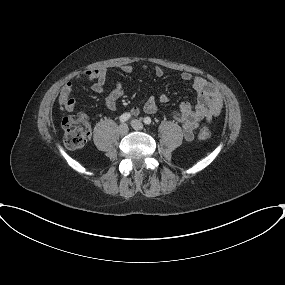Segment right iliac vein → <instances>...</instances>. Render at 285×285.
I'll return each mask as SVG.
<instances>
[{
  "label": "right iliac vein",
  "mask_w": 285,
  "mask_h": 285,
  "mask_svg": "<svg viewBox=\"0 0 285 285\" xmlns=\"http://www.w3.org/2000/svg\"><path fill=\"white\" fill-rule=\"evenodd\" d=\"M120 135H126L129 131V128L127 126V124L123 123L119 126V129H118Z\"/></svg>",
  "instance_id": "63e3f726"
}]
</instances>
